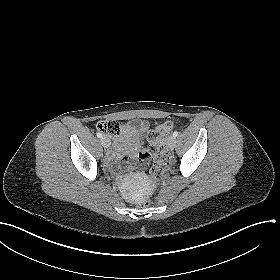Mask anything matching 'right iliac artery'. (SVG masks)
I'll use <instances>...</instances> for the list:
<instances>
[{"label": "right iliac artery", "instance_id": "obj_1", "mask_svg": "<svg viewBox=\"0 0 280 280\" xmlns=\"http://www.w3.org/2000/svg\"><path fill=\"white\" fill-rule=\"evenodd\" d=\"M97 137L102 138V134L100 132H97Z\"/></svg>", "mask_w": 280, "mask_h": 280}]
</instances>
